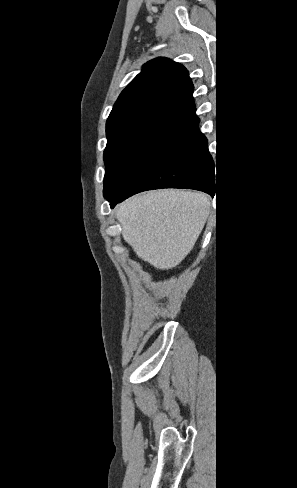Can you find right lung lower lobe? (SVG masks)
<instances>
[{"instance_id": "98d812e1", "label": "right lung lower lobe", "mask_w": 297, "mask_h": 488, "mask_svg": "<svg viewBox=\"0 0 297 488\" xmlns=\"http://www.w3.org/2000/svg\"><path fill=\"white\" fill-rule=\"evenodd\" d=\"M199 119L174 132L148 161L129 188L109 202H118L145 190L189 188L215 194L214 163Z\"/></svg>"}]
</instances>
